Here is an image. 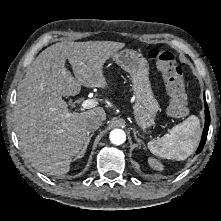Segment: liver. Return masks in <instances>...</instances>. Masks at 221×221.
I'll list each match as a JSON object with an SVG mask.
<instances>
[{"instance_id": "6515ba94", "label": "liver", "mask_w": 221, "mask_h": 221, "mask_svg": "<svg viewBox=\"0 0 221 221\" xmlns=\"http://www.w3.org/2000/svg\"><path fill=\"white\" fill-rule=\"evenodd\" d=\"M125 46L113 41L59 42L42 51L17 87L13 112L14 131L24 157L40 172L63 175L80 154L93 115L106 120L102 107L68 112L63 97L77 95L81 86L107 88L106 61ZM66 60L75 78L65 68Z\"/></svg>"}]
</instances>
